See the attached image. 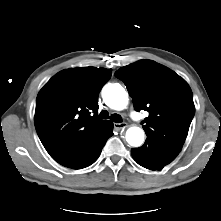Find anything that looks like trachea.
<instances>
[{
    "label": "trachea",
    "instance_id": "3493384b",
    "mask_svg": "<svg viewBox=\"0 0 221 221\" xmlns=\"http://www.w3.org/2000/svg\"><path fill=\"white\" fill-rule=\"evenodd\" d=\"M99 117H100L101 119H108V118H110V120H112V121L115 122V123H120V122H122V118H121V116H120L119 114H112V115L109 117V113H108V111H106V110H102V111L100 112V114H99Z\"/></svg>",
    "mask_w": 221,
    "mask_h": 221
}]
</instances>
